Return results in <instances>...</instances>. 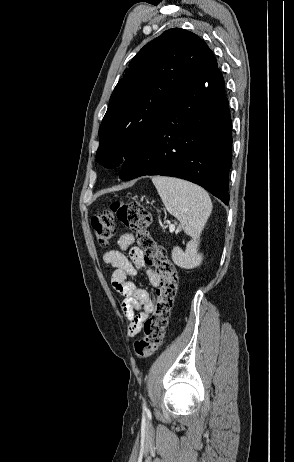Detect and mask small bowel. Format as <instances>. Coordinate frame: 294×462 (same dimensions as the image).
<instances>
[{"instance_id":"c3829d8e","label":"small bowel","mask_w":294,"mask_h":462,"mask_svg":"<svg viewBox=\"0 0 294 462\" xmlns=\"http://www.w3.org/2000/svg\"><path fill=\"white\" fill-rule=\"evenodd\" d=\"M133 243V234L123 233L118 239L119 250H110L103 254L104 263L114 268L111 276L112 286L124 297L121 306L122 312L128 320V335L130 337L141 331L144 321L152 314L155 304L154 297L148 290L139 288L130 281L145 265L142 251L133 246ZM129 248L128 258L123 251ZM147 276L150 284L157 288L158 278L152 269L147 270Z\"/></svg>"}]
</instances>
